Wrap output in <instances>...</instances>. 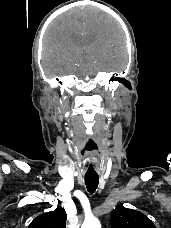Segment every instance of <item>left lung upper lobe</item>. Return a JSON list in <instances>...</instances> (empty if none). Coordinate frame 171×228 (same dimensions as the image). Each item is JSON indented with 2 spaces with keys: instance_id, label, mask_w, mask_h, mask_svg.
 <instances>
[{
  "instance_id": "left-lung-upper-lobe-1",
  "label": "left lung upper lobe",
  "mask_w": 171,
  "mask_h": 228,
  "mask_svg": "<svg viewBox=\"0 0 171 228\" xmlns=\"http://www.w3.org/2000/svg\"><path fill=\"white\" fill-rule=\"evenodd\" d=\"M111 226L112 228H156L147 216L123 206L113 210Z\"/></svg>"
}]
</instances>
